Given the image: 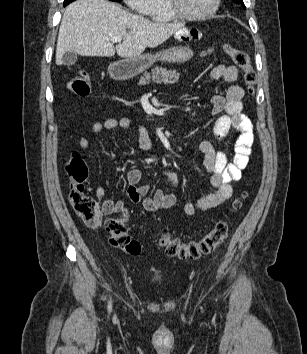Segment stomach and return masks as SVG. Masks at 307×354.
<instances>
[{"mask_svg":"<svg viewBox=\"0 0 307 354\" xmlns=\"http://www.w3.org/2000/svg\"><path fill=\"white\" fill-rule=\"evenodd\" d=\"M196 33V29H189ZM197 38L199 33L197 32ZM182 42H188L192 38H177ZM193 56V51L189 47H173L168 50L156 53V54H143L132 58H125L117 63H114L110 67V73L112 76L127 79L134 77L147 68H149L157 60L165 62H185L188 61Z\"/></svg>","mask_w":307,"mask_h":354,"instance_id":"stomach-1","label":"stomach"}]
</instances>
